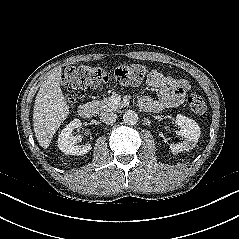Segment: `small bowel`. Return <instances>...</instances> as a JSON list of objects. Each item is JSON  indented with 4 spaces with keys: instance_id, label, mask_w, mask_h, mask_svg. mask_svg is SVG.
Listing matches in <instances>:
<instances>
[{
    "instance_id": "small-bowel-1",
    "label": "small bowel",
    "mask_w": 239,
    "mask_h": 239,
    "mask_svg": "<svg viewBox=\"0 0 239 239\" xmlns=\"http://www.w3.org/2000/svg\"><path fill=\"white\" fill-rule=\"evenodd\" d=\"M147 84L159 93L157 99L144 96L140 100L141 107L150 112H159L164 108L179 105L189 88L186 81L165 76L155 69L150 71Z\"/></svg>"
}]
</instances>
